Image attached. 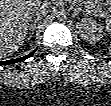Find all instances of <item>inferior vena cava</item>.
Segmentation results:
<instances>
[{
	"label": "inferior vena cava",
	"instance_id": "1",
	"mask_svg": "<svg viewBox=\"0 0 111 106\" xmlns=\"http://www.w3.org/2000/svg\"><path fill=\"white\" fill-rule=\"evenodd\" d=\"M30 14L35 19L40 20L42 17L48 14V10L46 8L45 3L37 2L31 9Z\"/></svg>",
	"mask_w": 111,
	"mask_h": 106
}]
</instances>
